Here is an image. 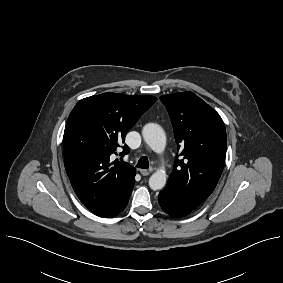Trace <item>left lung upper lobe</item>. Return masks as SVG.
I'll return each instance as SVG.
<instances>
[{"mask_svg": "<svg viewBox=\"0 0 283 283\" xmlns=\"http://www.w3.org/2000/svg\"><path fill=\"white\" fill-rule=\"evenodd\" d=\"M160 100L170 115L177 149H183V159L176 158L167 184L196 208L214 191L224 167V122L192 92L164 95Z\"/></svg>", "mask_w": 283, "mask_h": 283, "instance_id": "5c2ea615", "label": "left lung upper lobe"}]
</instances>
